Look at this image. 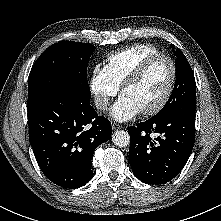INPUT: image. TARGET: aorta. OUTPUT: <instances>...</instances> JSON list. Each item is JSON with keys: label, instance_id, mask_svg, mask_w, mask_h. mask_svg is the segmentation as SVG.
I'll return each instance as SVG.
<instances>
[{"label": "aorta", "instance_id": "obj_1", "mask_svg": "<svg viewBox=\"0 0 221 221\" xmlns=\"http://www.w3.org/2000/svg\"><path fill=\"white\" fill-rule=\"evenodd\" d=\"M112 141L119 147H126L130 144L129 133L123 130L116 131L112 135Z\"/></svg>", "mask_w": 221, "mask_h": 221}]
</instances>
